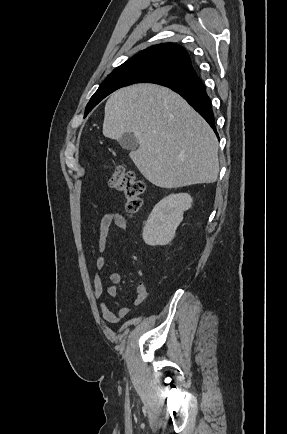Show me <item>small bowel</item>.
Segmentation results:
<instances>
[{"mask_svg": "<svg viewBox=\"0 0 287 434\" xmlns=\"http://www.w3.org/2000/svg\"><path fill=\"white\" fill-rule=\"evenodd\" d=\"M115 226L123 231H127L128 224L125 217L118 213L107 212L105 213L99 222V239L97 242V249L100 253H103L106 245L107 238L109 236L111 228ZM96 268L101 271L106 265V258L103 254L97 257L95 261ZM110 284H105L103 282L100 273H96L93 278L94 285V296L99 302L102 316L106 322L109 324H117L120 319L128 316L132 310L131 307H121L117 313L113 312L104 300V293L106 292L109 296L113 297L117 294L116 285L121 283L122 275L119 272H111L108 275ZM147 298V289L143 282H138L135 289V297L133 300V306L137 307L142 304Z\"/></svg>", "mask_w": 287, "mask_h": 434, "instance_id": "1", "label": "small bowel"}]
</instances>
